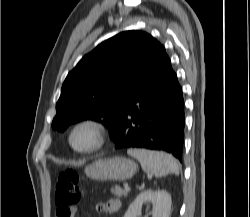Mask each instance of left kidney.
<instances>
[{"mask_svg":"<svg viewBox=\"0 0 250 217\" xmlns=\"http://www.w3.org/2000/svg\"><path fill=\"white\" fill-rule=\"evenodd\" d=\"M152 203V217H169L171 209V196L165 190H146L141 192L135 200L130 204L124 217H138L142 205Z\"/></svg>","mask_w":250,"mask_h":217,"instance_id":"5707ae66","label":"left kidney"}]
</instances>
